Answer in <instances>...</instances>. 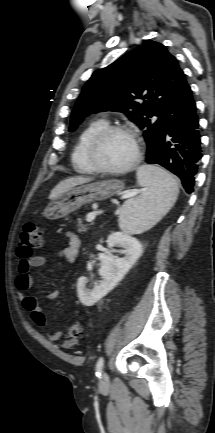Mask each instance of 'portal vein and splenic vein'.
Segmentation results:
<instances>
[{"instance_id":"18ae733b","label":"portal vein and splenic vein","mask_w":215,"mask_h":433,"mask_svg":"<svg viewBox=\"0 0 215 433\" xmlns=\"http://www.w3.org/2000/svg\"><path fill=\"white\" fill-rule=\"evenodd\" d=\"M136 194H137L136 191H131V192H129V193L126 194V197H127V198H128V197H133V196H135ZM100 213H102V211H97V212L89 213V214L87 215V221H88V222H92V221L96 218V216H97L98 214H100Z\"/></svg>"}]
</instances>
